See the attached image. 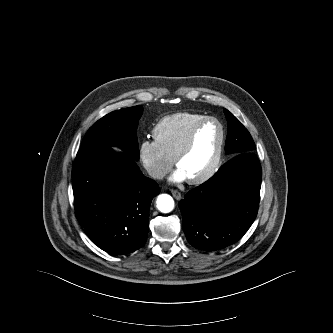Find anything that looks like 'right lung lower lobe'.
I'll return each instance as SVG.
<instances>
[{
  "label": "right lung lower lobe",
  "mask_w": 333,
  "mask_h": 333,
  "mask_svg": "<svg viewBox=\"0 0 333 333\" xmlns=\"http://www.w3.org/2000/svg\"><path fill=\"white\" fill-rule=\"evenodd\" d=\"M72 181L76 217L99 248L121 255L144 245L150 204L160 188L133 157L110 148L80 150Z\"/></svg>",
  "instance_id": "obj_1"
}]
</instances>
